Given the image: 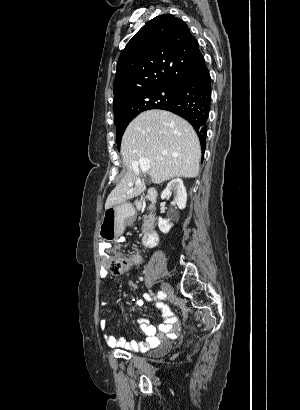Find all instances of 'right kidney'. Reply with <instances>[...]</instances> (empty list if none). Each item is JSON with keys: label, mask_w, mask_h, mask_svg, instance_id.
Wrapping results in <instances>:
<instances>
[{"label": "right kidney", "mask_w": 300, "mask_h": 410, "mask_svg": "<svg viewBox=\"0 0 300 410\" xmlns=\"http://www.w3.org/2000/svg\"><path fill=\"white\" fill-rule=\"evenodd\" d=\"M172 193L175 196L173 204L181 210L184 209L187 202V193L183 181L180 178L172 179L167 184L166 188L161 193V199H169ZM158 227L161 232L166 234L171 229L172 223H170L169 220H164L159 217Z\"/></svg>", "instance_id": "right-kidney-1"}]
</instances>
